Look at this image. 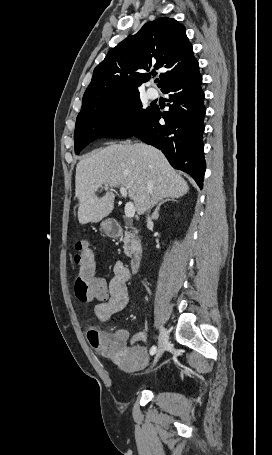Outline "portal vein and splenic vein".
Wrapping results in <instances>:
<instances>
[{"instance_id": "obj_1", "label": "portal vein and splenic vein", "mask_w": 272, "mask_h": 455, "mask_svg": "<svg viewBox=\"0 0 272 455\" xmlns=\"http://www.w3.org/2000/svg\"><path fill=\"white\" fill-rule=\"evenodd\" d=\"M105 186H108L107 184H105ZM120 192H121V195L123 197H127V190L125 187L121 186L120 187ZM124 212H125V216L128 217V218H132L134 217L135 215V206L132 202H127L126 205H125V209H124Z\"/></svg>"}]
</instances>
